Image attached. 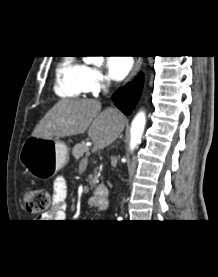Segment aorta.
I'll return each mask as SVG.
<instances>
[{
    "mask_svg": "<svg viewBox=\"0 0 218 277\" xmlns=\"http://www.w3.org/2000/svg\"><path fill=\"white\" fill-rule=\"evenodd\" d=\"M88 60L95 65H101L102 56H88ZM146 124V117L143 111H140L133 119L130 129V149L133 150L141 142Z\"/></svg>",
    "mask_w": 218,
    "mask_h": 277,
    "instance_id": "762f6f07",
    "label": "aorta"
}]
</instances>
